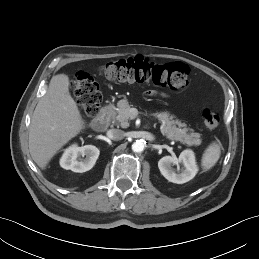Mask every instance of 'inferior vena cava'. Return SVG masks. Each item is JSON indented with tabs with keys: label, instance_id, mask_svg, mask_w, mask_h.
I'll return each instance as SVG.
<instances>
[{
	"label": "inferior vena cava",
	"instance_id": "obj_1",
	"mask_svg": "<svg viewBox=\"0 0 259 259\" xmlns=\"http://www.w3.org/2000/svg\"><path fill=\"white\" fill-rule=\"evenodd\" d=\"M124 136V131L120 129H110L107 131V137L115 141L122 140Z\"/></svg>",
	"mask_w": 259,
	"mask_h": 259
}]
</instances>
